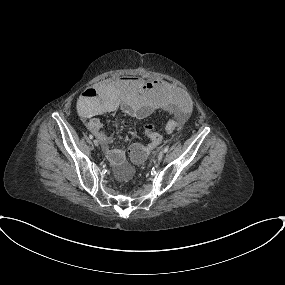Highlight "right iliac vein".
Returning a JSON list of instances; mask_svg holds the SVG:
<instances>
[{
	"mask_svg": "<svg viewBox=\"0 0 285 285\" xmlns=\"http://www.w3.org/2000/svg\"><path fill=\"white\" fill-rule=\"evenodd\" d=\"M93 143H94L95 146H98V145H99V142H98L97 139H94V140H93Z\"/></svg>",
	"mask_w": 285,
	"mask_h": 285,
	"instance_id": "63e3f726",
	"label": "right iliac vein"
}]
</instances>
